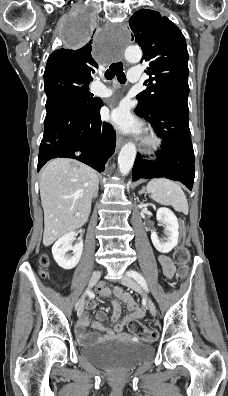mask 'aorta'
<instances>
[{"label": "aorta", "mask_w": 228, "mask_h": 396, "mask_svg": "<svg viewBox=\"0 0 228 396\" xmlns=\"http://www.w3.org/2000/svg\"><path fill=\"white\" fill-rule=\"evenodd\" d=\"M125 59L131 63H137L142 58V51L137 47H127L124 51ZM136 157V145L133 142L126 143L118 156L119 172L125 176L133 167Z\"/></svg>", "instance_id": "1"}]
</instances>
